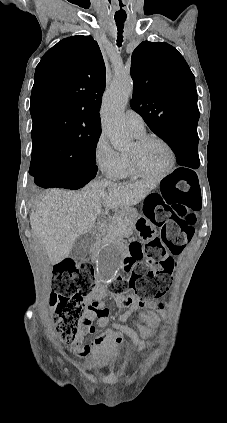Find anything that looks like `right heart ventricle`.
<instances>
[{
	"label": "right heart ventricle",
	"instance_id": "obj_1",
	"mask_svg": "<svg viewBox=\"0 0 227 423\" xmlns=\"http://www.w3.org/2000/svg\"><path fill=\"white\" fill-rule=\"evenodd\" d=\"M133 135L136 138H140V137H143L145 135V133L144 134H141V135H135V134H133ZM122 156H123V159H124V162H125V173H124V176L132 175V170H131V166H130V161H129L128 155L127 154H123Z\"/></svg>",
	"mask_w": 227,
	"mask_h": 423
}]
</instances>
